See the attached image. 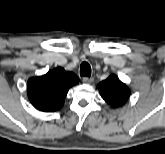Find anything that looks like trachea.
Masks as SVG:
<instances>
[{
  "label": "trachea",
  "instance_id": "1",
  "mask_svg": "<svg viewBox=\"0 0 165 154\" xmlns=\"http://www.w3.org/2000/svg\"><path fill=\"white\" fill-rule=\"evenodd\" d=\"M80 75L84 77L91 76V67L87 62H82L80 65Z\"/></svg>",
  "mask_w": 165,
  "mask_h": 154
}]
</instances>
